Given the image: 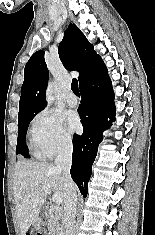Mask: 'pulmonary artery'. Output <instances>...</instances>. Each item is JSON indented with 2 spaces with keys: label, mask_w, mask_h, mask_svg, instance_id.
<instances>
[{
  "label": "pulmonary artery",
  "mask_w": 155,
  "mask_h": 235,
  "mask_svg": "<svg viewBox=\"0 0 155 235\" xmlns=\"http://www.w3.org/2000/svg\"><path fill=\"white\" fill-rule=\"evenodd\" d=\"M66 102L69 106L74 107L78 104V99L72 92H69L66 95Z\"/></svg>",
  "instance_id": "pulmonary-artery-1"
}]
</instances>
